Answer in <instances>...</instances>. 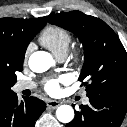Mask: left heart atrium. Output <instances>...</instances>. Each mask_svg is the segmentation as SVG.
Wrapping results in <instances>:
<instances>
[{
    "mask_svg": "<svg viewBox=\"0 0 127 127\" xmlns=\"http://www.w3.org/2000/svg\"><path fill=\"white\" fill-rule=\"evenodd\" d=\"M68 82L67 76L48 79L44 84L45 91L50 95H57L60 92V85Z\"/></svg>",
    "mask_w": 127,
    "mask_h": 127,
    "instance_id": "left-heart-atrium-1",
    "label": "left heart atrium"
}]
</instances>
